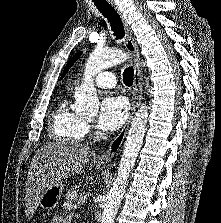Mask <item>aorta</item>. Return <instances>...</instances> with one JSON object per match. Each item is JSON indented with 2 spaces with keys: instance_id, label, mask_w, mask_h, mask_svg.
I'll list each match as a JSON object with an SVG mask.
<instances>
[{
  "instance_id": "aorta-1",
  "label": "aorta",
  "mask_w": 221,
  "mask_h": 223,
  "mask_svg": "<svg viewBox=\"0 0 221 223\" xmlns=\"http://www.w3.org/2000/svg\"><path fill=\"white\" fill-rule=\"evenodd\" d=\"M128 59V55L122 50L95 49L84 71V81L75 92L74 111L81 115H96L99 109V100L94 87L93 77L102 70L120 64ZM148 119V107L140 106L135 114L125 141L124 150L117 168L116 177L105 203L101 223H113L122 198L124 196L127 181L131 169L135 163L138 152L143 143Z\"/></svg>"
}]
</instances>
